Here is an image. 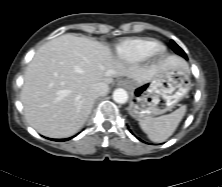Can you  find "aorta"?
I'll list each match as a JSON object with an SVG mask.
<instances>
[{
  "label": "aorta",
  "mask_w": 222,
  "mask_h": 187,
  "mask_svg": "<svg viewBox=\"0 0 222 187\" xmlns=\"http://www.w3.org/2000/svg\"><path fill=\"white\" fill-rule=\"evenodd\" d=\"M113 100L116 103H120V104L126 103L127 100H128L127 91L122 89V88H118V89L114 90V92H113Z\"/></svg>",
  "instance_id": "762f6f07"
}]
</instances>
